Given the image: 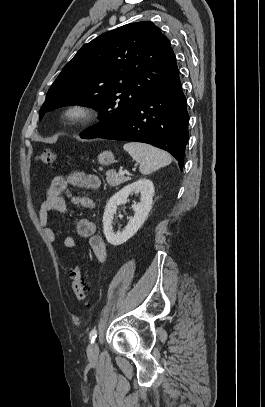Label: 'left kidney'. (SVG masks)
<instances>
[{"instance_id":"left-kidney-1","label":"left kidney","mask_w":265,"mask_h":407,"mask_svg":"<svg viewBox=\"0 0 265 407\" xmlns=\"http://www.w3.org/2000/svg\"><path fill=\"white\" fill-rule=\"evenodd\" d=\"M131 193L141 194L140 202L132 206L135 215L129 220L122 232L115 234L112 226L114 214L119 205L127 202V198ZM153 195V182L149 179L142 178L128 184L109 199L103 215V230L108 243L113 246L121 245L140 229L152 208Z\"/></svg>"}]
</instances>
